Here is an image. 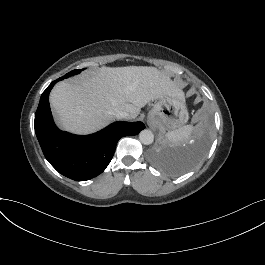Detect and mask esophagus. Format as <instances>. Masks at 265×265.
<instances>
[{"label":"esophagus","instance_id":"1","mask_svg":"<svg viewBox=\"0 0 265 265\" xmlns=\"http://www.w3.org/2000/svg\"><path fill=\"white\" fill-rule=\"evenodd\" d=\"M148 126H149V127H153V124H152V123H148Z\"/></svg>","mask_w":265,"mask_h":265}]
</instances>
